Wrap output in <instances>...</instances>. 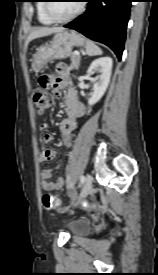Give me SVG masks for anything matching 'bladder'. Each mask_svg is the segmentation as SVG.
<instances>
[{"mask_svg":"<svg viewBox=\"0 0 158 275\" xmlns=\"http://www.w3.org/2000/svg\"><path fill=\"white\" fill-rule=\"evenodd\" d=\"M67 229L71 236H81L87 232L88 223L83 219L74 220L67 224Z\"/></svg>","mask_w":158,"mask_h":275,"instance_id":"31cf9c89","label":"bladder"}]
</instances>
